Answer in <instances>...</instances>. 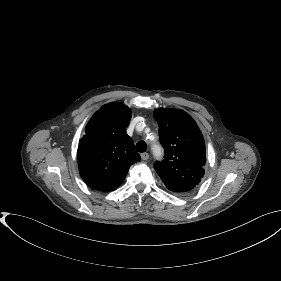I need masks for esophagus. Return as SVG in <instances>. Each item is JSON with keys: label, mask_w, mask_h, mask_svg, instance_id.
Masks as SVG:
<instances>
[{"label": "esophagus", "mask_w": 281, "mask_h": 281, "mask_svg": "<svg viewBox=\"0 0 281 281\" xmlns=\"http://www.w3.org/2000/svg\"><path fill=\"white\" fill-rule=\"evenodd\" d=\"M141 158H142V160H147L148 158H149V154L148 153H142L141 154Z\"/></svg>", "instance_id": "obj_1"}]
</instances>
